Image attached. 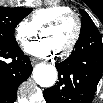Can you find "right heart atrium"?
<instances>
[{"instance_id": "obj_1", "label": "right heart atrium", "mask_w": 103, "mask_h": 103, "mask_svg": "<svg viewBox=\"0 0 103 103\" xmlns=\"http://www.w3.org/2000/svg\"><path fill=\"white\" fill-rule=\"evenodd\" d=\"M38 33V30L32 24L31 21L28 20H20L17 22L14 28V37L16 42L23 46L29 39L34 37Z\"/></svg>"}]
</instances>
